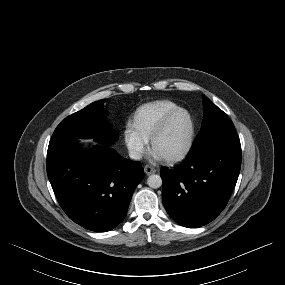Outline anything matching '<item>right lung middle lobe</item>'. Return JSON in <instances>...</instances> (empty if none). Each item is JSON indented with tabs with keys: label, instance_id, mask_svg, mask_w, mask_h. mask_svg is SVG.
Returning <instances> with one entry per match:
<instances>
[{
	"label": "right lung middle lobe",
	"instance_id": "1",
	"mask_svg": "<svg viewBox=\"0 0 285 285\" xmlns=\"http://www.w3.org/2000/svg\"><path fill=\"white\" fill-rule=\"evenodd\" d=\"M105 102L106 99L93 102L65 118L55 129L50 143L78 138H94L95 141L104 139L106 111L103 104ZM106 139L112 143L118 139V135L115 132H108Z\"/></svg>",
	"mask_w": 285,
	"mask_h": 285
}]
</instances>
